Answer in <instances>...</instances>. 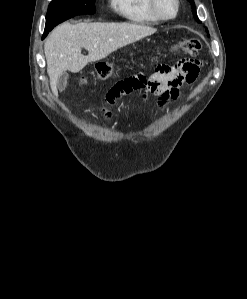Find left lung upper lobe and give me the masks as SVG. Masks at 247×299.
Masks as SVG:
<instances>
[{"instance_id": "1", "label": "left lung upper lobe", "mask_w": 247, "mask_h": 299, "mask_svg": "<svg viewBox=\"0 0 247 299\" xmlns=\"http://www.w3.org/2000/svg\"><path fill=\"white\" fill-rule=\"evenodd\" d=\"M188 1H189L190 4L192 5V13H193V15H194V18L196 19L197 22L200 23L201 21L198 19L194 1H193V0H188Z\"/></svg>"}]
</instances>
